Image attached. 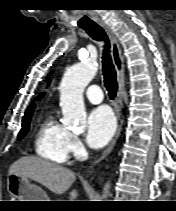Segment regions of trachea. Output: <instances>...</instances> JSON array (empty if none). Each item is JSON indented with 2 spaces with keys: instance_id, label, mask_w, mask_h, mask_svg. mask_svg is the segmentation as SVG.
Here are the masks:
<instances>
[{
  "instance_id": "trachea-1",
  "label": "trachea",
  "mask_w": 176,
  "mask_h": 211,
  "mask_svg": "<svg viewBox=\"0 0 176 211\" xmlns=\"http://www.w3.org/2000/svg\"><path fill=\"white\" fill-rule=\"evenodd\" d=\"M82 28L88 33V35L92 39L104 42V49L102 56L104 83L110 99H114L118 90V84H117L116 71L109 53L110 43L108 37L103 28L97 24L84 26Z\"/></svg>"
}]
</instances>
